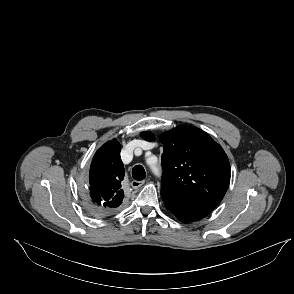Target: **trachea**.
I'll use <instances>...</instances> for the list:
<instances>
[{
	"instance_id": "trachea-1",
	"label": "trachea",
	"mask_w": 294,
	"mask_h": 294,
	"mask_svg": "<svg viewBox=\"0 0 294 294\" xmlns=\"http://www.w3.org/2000/svg\"><path fill=\"white\" fill-rule=\"evenodd\" d=\"M132 176L137 181L143 180L146 177V173H145V170H144L143 166L136 165L132 169Z\"/></svg>"
}]
</instances>
